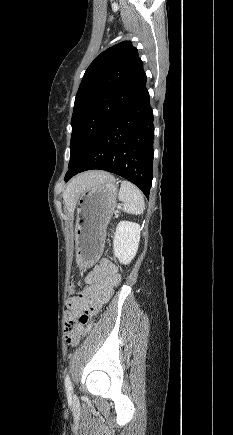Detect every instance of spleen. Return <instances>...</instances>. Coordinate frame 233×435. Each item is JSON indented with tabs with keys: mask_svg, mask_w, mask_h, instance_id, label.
Returning a JSON list of instances; mask_svg holds the SVG:
<instances>
[{
	"mask_svg": "<svg viewBox=\"0 0 233 435\" xmlns=\"http://www.w3.org/2000/svg\"><path fill=\"white\" fill-rule=\"evenodd\" d=\"M118 199L123 202V209L129 214L139 215L145 209L142 192L129 181H122Z\"/></svg>",
	"mask_w": 233,
	"mask_h": 435,
	"instance_id": "1",
	"label": "spleen"
}]
</instances>
